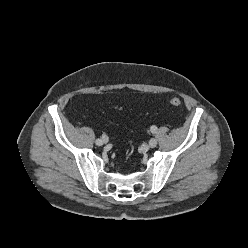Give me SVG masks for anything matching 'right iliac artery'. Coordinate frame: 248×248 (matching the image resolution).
<instances>
[{
	"instance_id": "82829eb1",
	"label": "right iliac artery",
	"mask_w": 248,
	"mask_h": 248,
	"mask_svg": "<svg viewBox=\"0 0 248 248\" xmlns=\"http://www.w3.org/2000/svg\"><path fill=\"white\" fill-rule=\"evenodd\" d=\"M94 144H95V146L100 147V146H102L103 141H102V139L97 138V139H95Z\"/></svg>"
}]
</instances>
